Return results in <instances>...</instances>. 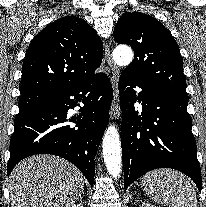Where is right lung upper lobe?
<instances>
[{
	"instance_id": "cb5924a9",
	"label": "right lung upper lobe",
	"mask_w": 206,
	"mask_h": 207,
	"mask_svg": "<svg viewBox=\"0 0 206 207\" xmlns=\"http://www.w3.org/2000/svg\"><path fill=\"white\" fill-rule=\"evenodd\" d=\"M103 58L97 32L76 16L62 17L30 43L22 66L21 97L46 94L97 75Z\"/></svg>"
}]
</instances>
